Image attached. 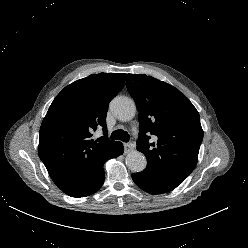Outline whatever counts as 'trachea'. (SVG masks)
I'll return each mask as SVG.
<instances>
[{
	"label": "trachea",
	"mask_w": 248,
	"mask_h": 248,
	"mask_svg": "<svg viewBox=\"0 0 248 248\" xmlns=\"http://www.w3.org/2000/svg\"><path fill=\"white\" fill-rule=\"evenodd\" d=\"M110 138L115 140H121L123 142H129L130 136L126 131L118 129L112 132Z\"/></svg>",
	"instance_id": "1"
}]
</instances>
